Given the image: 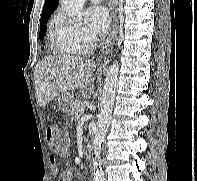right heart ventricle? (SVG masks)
Returning a JSON list of instances; mask_svg holds the SVG:
<instances>
[{
  "label": "right heart ventricle",
  "mask_w": 197,
  "mask_h": 181,
  "mask_svg": "<svg viewBox=\"0 0 197 181\" xmlns=\"http://www.w3.org/2000/svg\"><path fill=\"white\" fill-rule=\"evenodd\" d=\"M48 39L50 50L55 55L70 57L79 52L60 18L51 20Z\"/></svg>",
  "instance_id": "1"
}]
</instances>
